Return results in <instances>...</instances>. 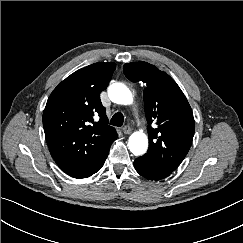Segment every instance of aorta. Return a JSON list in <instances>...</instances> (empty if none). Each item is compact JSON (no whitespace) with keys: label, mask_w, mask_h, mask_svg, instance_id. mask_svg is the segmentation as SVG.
Instances as JSON below:
<instances>
[{"label":"aorta","mask_w":243,"mask_h":243,"mask_svg":"<svg viewBox=\"0 0 243 243\" xmlns=\"http://www.w3.org/2000/svg\"><path fill=\"white\" fill-rule=\"evenodd\" d=\"M108 96L114 103L130 105L133 103V95L123 83H112L108 88ZM128 148L135 155L144 154L148 148V138L141 131L134 132L128 140Z\"/></svg>","instance_id":"aorta-1"}]
</instances>
